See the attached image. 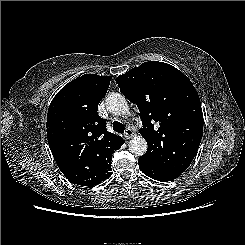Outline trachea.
Here are the masks:
<instances>
[{
    "label": "trachea",
    "instance_id": "1",
    "mask_svg": "<svg viewBox=\"0 0 245 245\" xmlns=\"http://www.w3.org/2000/svg\"><path fill=\"white\" fill-rule=\"evenodd\" d=\"M113 130H114L115 132H118V133H123L124 130H125V127H124V125H123L122 123H120V122H118V121H115V122L113 123Z\"/></svg>",
    "mask_w": 245,
    "mask_h": 245
}]
</instances>
